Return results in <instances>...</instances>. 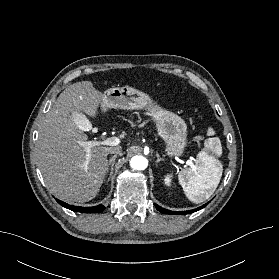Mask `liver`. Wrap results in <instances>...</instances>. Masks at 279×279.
<instances>
[{
  "label": "liver",
  "mask_w": 279,
  "mask_h": 279,
  "mask_svg": "<svg viewBox=\"0 0 279 279\" xmlns=\"http://www.w3.org/2000/svg\"><path fill=\"white\" fill-rule=\"evenodd\" d=\"M102 94L91 81L68 86L57 98L39 126L36 142L37 164L46 186L56 197L67 202H87L98 194L107 173L111 148L94 146L86 164L82 143L88 136L72 119V113L96 117ZM85 123L87 118L83 114ZM118 147V146H115Z\"/></svg>",
  "instance_id": "6515ba94"
}]
</instances>
